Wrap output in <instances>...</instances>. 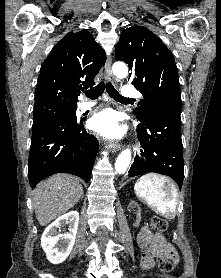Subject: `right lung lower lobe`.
I'll list each match as a JSON object with an SVG mask.
<instances>
[{
    "label": "right lung lower lobe",
    "instance_id": "obj_1",
    "mask_svg": "<svg viewBox=\"0 0 221 278\" xmlns=\"http://www.w3.org/2000/svg\"><path fill=\"white\" fill-rule=\"evenodd\" d=\"M83 120L55 119L32 130L28 178L34 188L55 173H70L86 179L98 151L97 139L83 128Z\"/></svg>",
    "mask_w": 221,
    "mask_h": 278
}]
</instances>
